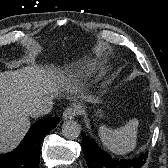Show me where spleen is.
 I'll use <instances>...</instances> for the list:
<instances>
[{
	"instance_id": "spleen-1",
	"label": "spleen",
	"mask_w": 168,
	"mask_h": 168,
	"mask_svg": "<svg viewBox=\"0 0 168 168\" xmlns=\"http://www.w3.org/2000/svg\"><path fill=\"white\" fill-rule=\"evenodd\" d=\"M138 125L139 121L137 119H131L117 129H111L103 125L99 127L98 134L107 150L116 155H125L136 147Z\"/></svg>"
}]
</instances>
